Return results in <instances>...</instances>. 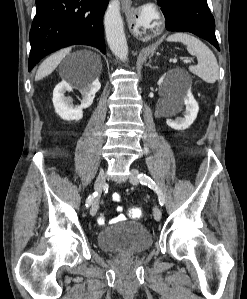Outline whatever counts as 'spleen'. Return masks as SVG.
<instances>
[{"mask_svg":"<svg viewBox=\"0 0 247 299\" xmlns=\"http://www.w3.org/2000/svg\"><path fill=\"white\" fill-rule=\"evenodd\" d=\"M170 42L183 43L187 51L197 57L198 64L189 67L190 72L207 83H214L219 77L217 59L209 47L198 38L187 33H175L167 38Z\"/></svg>","mask_w":247,"mask_h":299,"instance_id":"obj_1","label":"spleen"}]
</instances>
